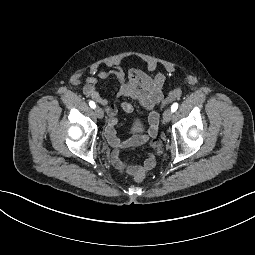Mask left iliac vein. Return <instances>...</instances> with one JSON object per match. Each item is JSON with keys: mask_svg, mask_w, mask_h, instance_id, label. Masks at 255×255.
<instances>
[{"mask_svg": "<svg viewBox=\"0 0 255 255\" xmlns=\"http://www.w3.org/2000/svg\"><path fill=\"white\" fill-rule=\"evenodd\" d=\"M172 114H173V112L171 109L165 110V112L163 114V121L168 123L172 119Z\"/></svg>", "mask_w": 255, "mask_h": 255, "instance_id": "left-iliac-vein-1", "label": "left iliac vein"}]
</instances>
